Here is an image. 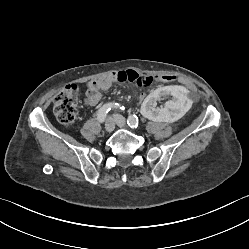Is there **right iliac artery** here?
Segmentation results:
<instances>
[{
  "label": "right iliac artery",
  "mask_w": 249,
  "mask_h": 249,
  "mask_svg": "<svg viewBox=\"0 0 249 249\" xmlns=\"http://www.w3.org/2000/svg\"><path fill=\"white\" fill-rule=\"evenodd\" d=\"M111 108H120L121 110H124V107H121L118 103H108L103 105L97 112V119L100 123L105 121L106 115L111 110Z\"/></svg>",
  "instance_id": "82829eb1"
}]
</instances>
